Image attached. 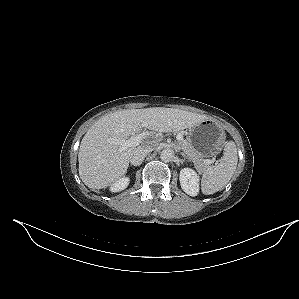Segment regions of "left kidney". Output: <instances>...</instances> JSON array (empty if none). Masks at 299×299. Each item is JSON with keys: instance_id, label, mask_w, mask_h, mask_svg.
<instances>
[{"instance_id": "1", "label": "left kidney", "mask_w": 299, "mask_h": 299, "mask_svg": "<svg viewBox=\"0 0 299 299\" xmlns=\"http://www.w3.org/2000/svg\"><path fill=\"white\" fill-rule=\"evenodd\" d=\"M180 184L183 191L190 196H197L199 193V176L190 168H183L180 171Z\"/></svg>"}]
</instances>
